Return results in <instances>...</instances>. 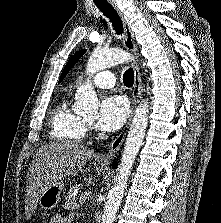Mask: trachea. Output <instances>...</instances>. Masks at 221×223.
Instances as JSON below:
<instances>
[{
  "label": "trachea",
  "mask_w": 221,
  "mask_h": 223,
  "mask_svg": "<svg viewBox=\"0 0 221 223\" xmlns=\"http://www.w3.org/2000/svg\"><path fill=\"white\" fill-rule=\"evenodd\" d=\"M99 10L109 18L116 33L121 35L123 33L122 21L116 10L107 2V0H93ZM123 83L127 87H131L134 83V71L132 68L126 70L123 74Z\"/></svg>",
  "instance_id": "3493384b"
}]
</instances>
